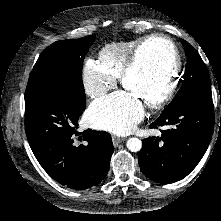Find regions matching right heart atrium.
<instances>
[{"mask_svg": "<svg viewBox=\"0 0 221 221\" xmlns=\"http://www.w3.org/2000/svg\"><path fill=\"white\" fill-rule=\"evenodd\" d=\"M82 77L85 91L92 99L104 95L115 83L114 79L106 76L99 65L93 61H87L85 63Z\"/></svg>", "mask_w": 221, "mask_h": 221, "instance_id": "d8ad5b80", "label": "right heart atrium"}]
</instances>
